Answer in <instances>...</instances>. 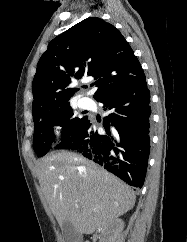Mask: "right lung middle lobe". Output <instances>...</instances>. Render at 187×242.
<instances>
[{
  "instance_id": "obj_1",
  "label": "right lung middle lobe",
  "mask_w": 187,
  "mask_h": 242,
  "mask_svg": "<svg viewBox=\"0 0 187 242\" xmlns=\"http://www.w3.org/2000/svg\"><path fill=\"white\" fill-rule=\"evenodd\" d=\"M87 117L79 118L73 113L69 104L60 106L43 114L34 115L33 148L38 157L44 156L55 141L54 126L62 127L61 140L70 137Z\"/></svg>"
}]
</instances>
